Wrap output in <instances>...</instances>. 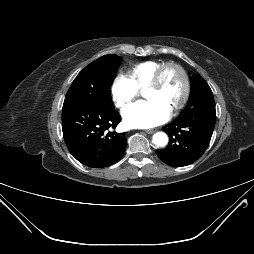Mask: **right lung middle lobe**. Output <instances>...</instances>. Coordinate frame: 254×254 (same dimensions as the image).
<instances>
[{
	"label": "right lung middle lobe",
	"instance_id": "right-lung-middle-lobe-1",
	"mask_svg": "<svg viewBox=\"0 0 254 254\" xmlns=\"http://www.w3.org/2000/svg\"><path fill=\"white\" fill-rule=\"evenodd\" d=\"M122 58L116 54L105 55L86 66L74 79L65 101H76L83 105L111 109L114 108L110 85L116 75Z\"/></svg>",
	"mask_w": 254,
	"mask_h": 254
}]
</instances>
